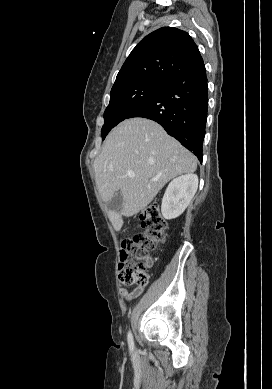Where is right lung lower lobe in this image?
I'll use <instances>...</instances> for the list:
<instances>
[{"instance_id":"obj_1","label":"right lung lower lobe","mask_w":272,"mask_h":389,"mask_svg":"<svg viewBox=\"0 0 272 389\" xmlns=\"http://www.w3.org/2000/svg\"><path fill=\"white\" fill-rule=\"evenodd\" d=\"M207 88L203 63L168 82L137 106L127 118L144 117L156 121L202 162L208 107Z\"/></svg>"}]
</instances>
